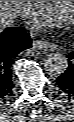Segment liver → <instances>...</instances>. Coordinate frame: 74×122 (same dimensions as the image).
<instances>
[{
    "label": "liver",
    "instance_id": "6515ba94",
    "mask_svg": "<svg viewBox=\"0 0 74 122\" xmlns=\"http://www.w3.org/2000/svg\"><path fill=\"white\" fill-rule=\"evenodd\" d=\"M25 1H0V30L3 31L13 22L16 13H20Z\"/></svg>",
    "mask_w": 74,
    "mask_h": 122
}]
</instances>
